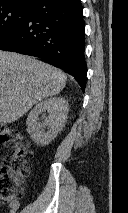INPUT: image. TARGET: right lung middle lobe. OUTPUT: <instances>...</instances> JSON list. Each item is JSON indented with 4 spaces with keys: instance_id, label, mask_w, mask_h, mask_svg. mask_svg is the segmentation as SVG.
<instances>
[{
    "instance_id": "1",
    "label": "right lung middle lobe",
    "mask_w": 128,
    "mask_h": 213,
    "mask_svg": "<svg viewBox=\"0 0 128 213\" xmlns=\"http://www.w3.org/2000/svg\"><path fill=\"white\" fill-rule=\"evenodd\" d=\"M30 9L20 5L0 6V41L24 23Z\"/></svg>"
}]
</instances>
